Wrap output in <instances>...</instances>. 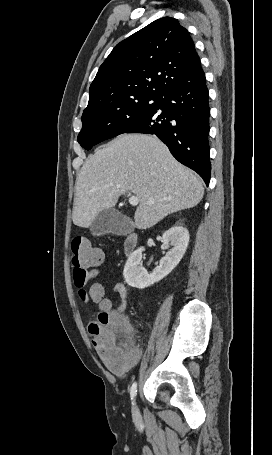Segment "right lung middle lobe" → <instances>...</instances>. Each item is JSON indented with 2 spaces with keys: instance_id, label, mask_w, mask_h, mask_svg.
<instances>
[{
  "instance_id": "right-lung-middle-lobe-1",
  "label": "right lung middle lobe",
  "mask_w": 272,
  "mask_h": 455,
  "mask_svg": "<svg viewBox=\"0 0 272 455\" xmlns=\"http://www.w3.org/2000/svg\"><path fill=\"white\" fill-rule=\"evenodd\" d=\"M161 96L135 95L110 102L82 115L79 144L87 150L106 139L125 133L131 126L151 114Z\"/></svg>"
}]
</instances>
